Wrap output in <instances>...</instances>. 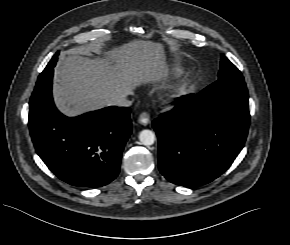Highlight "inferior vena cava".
I'll return each mask as SVG.
<instances>
[{
    "mask_svg": "<svg viewBox=\"0 0 290 245\" xmlns=\"http://www.w3.org/2000/svg\"><path fill=\"white\" fill-rule=\"evenodd\" d=\"M129 94H123L119 95L117 97H114L111 101L110 104L114 106H119V107H129L132 105V101L128 100L126 96Z\"/></svg>",
    "mask_w": 290,
    "mask_h": 245,
    "instance_id": "inferior-vena-cava-1",
    "label": "inferior vena cava"
}]
</instances>
